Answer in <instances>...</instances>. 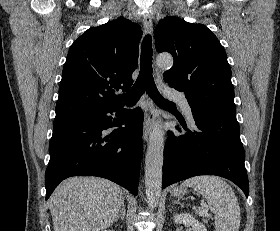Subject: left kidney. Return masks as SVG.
Segmentation results:
<instances>
[{
	"label": "left kidney",
	"instance_id": "obj_1",
	"mask_svg": "<svg viewBox=\"0 0 280 231\" xmlns=\"http://www.w3.org/2000/svg\"><path fill=\"white\" fill-rule=\"evenodd\" d=\"M175 223H185V225H191L193 231H207L204 223H200L198 219H195L190 213H177L174 215Z\"/></svg>",
	"mask_w": 280,
	"mask_h": 231
}]
</instances>
